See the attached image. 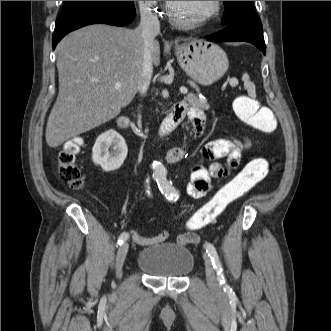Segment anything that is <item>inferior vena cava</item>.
Returning a JSON list of instances; mask_svg holds the SVG:
<instances>
[{"mask_svg":"<svg viewBox=\"0 0 331 331\" xmlns=\"http://www.w3.org/2000/svg\"><path fill=\"white\" fill-rule=\"evenodd\" d=\"M140 14H141V21L137 30L141 33V36L144 41V54H143V67H142V76L144 78V81L139 86L138 91L140 95L143 96L146 94L153 73L151 49L153 46L155 36L160 33V23L157 15L154 14L149 7L141 8Z\"/></svg>","mask_w":331,"mask_h":331,"instance_id":"602c4592","label":"inferior vena cava"}]
</instances>
